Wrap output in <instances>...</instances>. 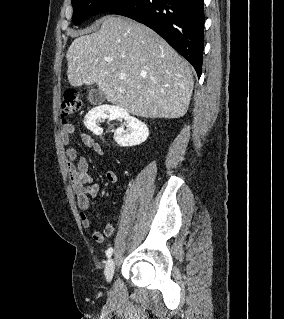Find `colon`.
I'll use <instances>...</instances> for the list:
<instances>
[{
  "mask_svg": "<svg viewBox=\"0 0 284 319\" xmlns=\"http://www.w3.org/2000/svg\"><path fill=\"white\" fill-rule=\"evenodd\" d=\"M81 109V101L80 98L75 90H66L61 99V117L64 123L67 122V120L78 114Z\"/></svg>",
  "mask_w": 284,
  "mask_h": 319,
  "instance_id": "5ec220e1",
  "label": "colon"
}]
</instances>
